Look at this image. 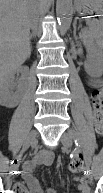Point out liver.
I'll use <instances>...</instances> for the list:
<instances>
[{
	"label": "liver",
	"instance_id": "obj_1",
	"mask_svg": "<svg viewBox=\"0 0 103 193\" xmlns=\"http://www.w3.org/2000/svg\"><path fill=\"white\" fill-rule=\"evenodd\" d=\"M38 0H1V54L0 71L14 72L31 55L30 23ZM42 5L45 6L42 1Z\"/></svg>",
	"mask_w": 103,
	"mask_h": 193
}]
</instances>
